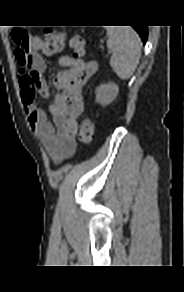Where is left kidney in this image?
I'll return each mask as SVG.
<instances>
[{"mask_svg": "<svg viewBox=\"0 0 184 292\" xmlns=\"http://www.w3.org/2000/svg\"><path fill=\"white\" fill-rule=\"evenodd\" d=\"M118 92L119 87L112 82L101 84L96 88V102L102 106H106L116 98Z\"/></svg>", "mask_w": 184, "mask_h": 292, "instance_id": "5707ae66", "label": "left kidney"}]
</instances>
